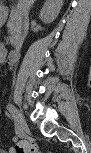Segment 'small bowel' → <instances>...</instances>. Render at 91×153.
I'll use <instances>...</instances> for the list:
<instances>
[{
    "label": "small bowel",
    "instance_id": "c3829d8e",
    "mask_svg": "<svg viewBox=\"0 0 91 153\" xmlns=\"http://www.w3.org/2000/svg\"><path fill=\"white\" fill-rule=\"evenodd\" d=\"M9 152H10V153H14V149H13V148H10V149H9Z\"/></svg>",
    "mask_w": 91,
    "mask_h": 153
}]
</instances>
